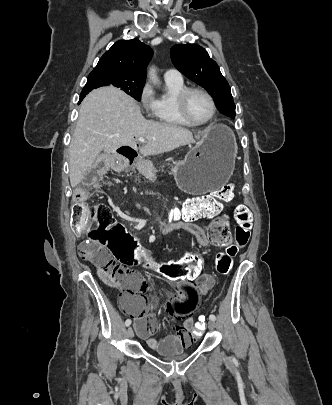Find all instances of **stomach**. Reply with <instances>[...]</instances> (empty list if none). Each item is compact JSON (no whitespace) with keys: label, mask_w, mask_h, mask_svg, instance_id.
I'll return each instance as SVG.
<instances>
[{"label":"stomach","mask_w":332,"mask_h":405,"mask_svg":"<svg viewBox=\"0 0 332 405\" xmlns=\"http://www.w3.org/2000/svg\"><path fill=\"white\" fill-rule=\"evenodd\" d=\"M236 151L230 128L224 124H212L184 160L174 162V179L183 191L192 195L218 190L234 171Z\"/></svg>","instance_id":"stomach-1"}]
</instances>
